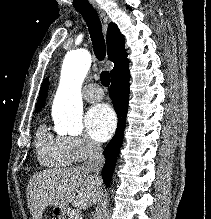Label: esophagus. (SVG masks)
Wrapping results in <instances>:
<instances>
[{
	"label": "esophagus",
	"mask_w": 211,
	"mask_h": 219,
	"mask_svg": "<svg viewBox=\"0 0 211 219\" xmlns=\"http://www.w3.org/2000/svg\"><path fill=\"white\" fill-rule=\"evenodd\" d=\"M93 7L96 9V11H98V13L100 14V16H101L102 18L105 17L104 12H103V10L100 8L99 5H97V4H93Z\"/></svg>",
	"instance_id": "obj_1"
}]
</instances>
